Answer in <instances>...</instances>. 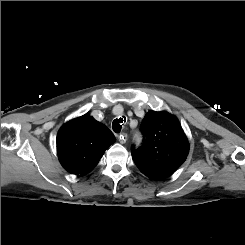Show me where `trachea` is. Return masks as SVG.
Here are the masks:
<instances>
[{"label": "trachea", "mask_w": 245, "mask_h": 245, "mask_svg": "<svg viewBox=\"0 0 245 245\" xmlns=\"http://www.w3.org/2000/svg\"><path fill=\"white\" fill-rule=\"evenodd\" d=\"M126 122V117L122 116L119 119H115L112 123L113 131L119 133L122 129V125Z\"/></svg>", "instance_id": "trachea-1"}]
</instances>
